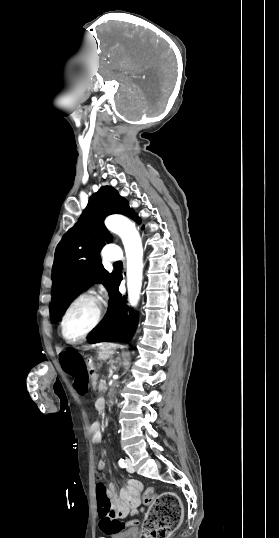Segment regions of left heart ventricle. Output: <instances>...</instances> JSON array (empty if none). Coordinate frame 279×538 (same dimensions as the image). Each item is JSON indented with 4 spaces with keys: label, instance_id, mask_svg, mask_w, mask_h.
I'll list each match as a JSON object with an SVG mask.
<instances>
[{
    "label": "left heart ventricle",
    "instance_id": "left-heart-ventricle-1",
    "mask_svg": "<svg viewBox=\"0 0 279 538\" xmlns=\"http://www.w3.org/2000/svg\"><path fill=\"white\" fill-rule=\"evenodd\" d=\"M94 314L95 307L92 303H83L75 308L66 324V336L73 339L80 335L91 323Z\"/></svg>",
    "mask_w": 279,
    "mask_h": 538
}]
</instances>
